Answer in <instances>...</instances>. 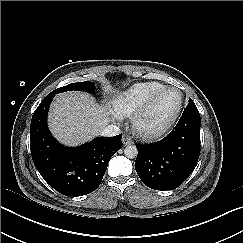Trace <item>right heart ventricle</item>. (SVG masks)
Segmentation results:
<instances>
[{
    "instance_id": "1",
    "label": "right heart ventricle",
    "mask_w": 243,
    "mask_h": 243,
    "mask_svg": "<svg viewBox=\"0 0 243 243\" xmlns=\"http://www.w3.org/2000/svg\"><path fill=\"white\" fill-rule=\"evenodd\" d=\"M163 87L165 85L157 81L135 83L113 97V110L121 117H130L152 94Z\"/></svg>"
}]
</instances>
